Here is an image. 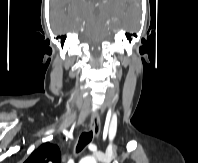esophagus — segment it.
I'll return each mask as SVG.
<instances>
[{
  "instance_id": "1",
  "label": "esophagus",
  "mask_w": 198,
  "mask_h": 163,
  "mask_svg": "<svg viewBox=\"0 0 198 163\" xmlns=\"http://www.w3.org/2000/svg\"><path fill=\"white\" fill-rule=\"evenodd\" d=\"M90 130L93 131V135H94L95 138H97L99 136L100 130H101L99 119L93 118L91 120V122H90Z\"/></svg>"
}]
</instances>
